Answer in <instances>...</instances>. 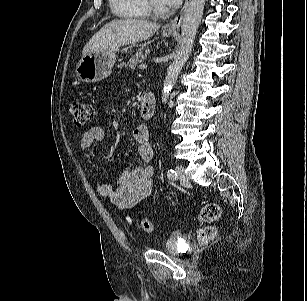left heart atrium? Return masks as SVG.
<instances>
[{"instance_id": "39dd6f15", "label": "left heart atrium", "mask_w": 307, "mask_h": 301, "mask_svg": "<svg viewBox=\"0 0 307 301\" xmlns=\"http://www.w3.org/2000/svg\"><path fill=\"white\" fill-rule=\"evenodd\" d=\"M161 9H172L177 7L181 0H156Z\"/></svg>"}]
</instances>
